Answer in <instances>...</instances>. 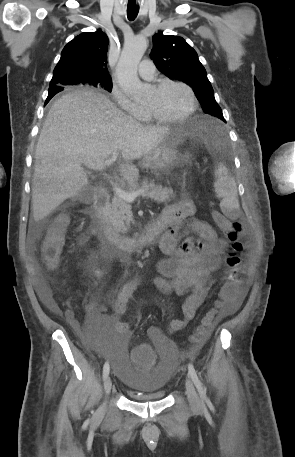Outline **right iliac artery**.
<instances>
[{"label":"right iliac artery","mask_w":295,"mask_h":457,"mask_svg":"<svg viewBox=\"0 0 295 457\" xmlns=\"http://www.w3.org/2000/svg\"><path fill=\"white\" fill-rule=\"evenodd\" d=\"M109 371H110V367H109L108 362H106L103 367V379H106V377L109 374Z\"/></svg>","instance_id":"obj_1"}]
</instances>
